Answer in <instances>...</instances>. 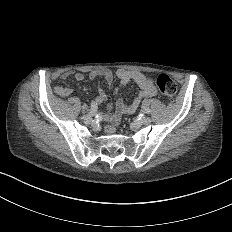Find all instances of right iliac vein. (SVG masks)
Instances as JSON below:
<instances>
[{"label":"right iliac vein","mask_w":232,"mask_h":232,"mask_svg":"<svg viewBox=\"0 0 232 232\" xmlns=\"http://www.w3.org/2000/svg\"><path fill=\"white\" fill-rule=\"evenodd\" d=\"M84 123H85L86 125H91V124H92V120H91V119H85V120H84Z\"/></svg>","instance_id":"1"}]
</instances>
